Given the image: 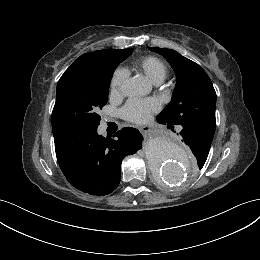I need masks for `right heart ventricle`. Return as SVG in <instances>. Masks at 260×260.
Listing matches in <instances>:
<instances>
[{
  "label": "right heart ventricle",
  "instance_id": "e07e8e85",
  "mask_svg": "<svg viewBox=\"0 0 260 260\" xmlns=\"http://www.w3.org/2000/svg\"><path fill=\"white\" fill-rule=\"evenodd\" d=\"M135 66L154 84L163 82L168 75L166 63L156 56L142 57L135 62Z\"/></svg>",
  "mask_w": 260,
  "mask_h": 260
}]
</instances>
